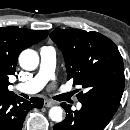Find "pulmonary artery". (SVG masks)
Here are the masks:
<instances>
[{"label": "pulmonary artery", "instance_id": "1", "mask_svg": "<svg viewBox=\"0 0 130 130\" xmlns=\"http://www.w3.org/2000/svg\"><path fill=\"white\" fill-rule=\"evenodd\" d=\"M40 68L37 74L30 80L18 84L16 88L22 92L35 94L39 92L45 84L54 77L56 64V51L51 46H44L40 49Z\"/></svg>", "mask_w": 130, "mask_h": 130}]
</instances>
